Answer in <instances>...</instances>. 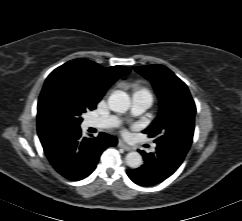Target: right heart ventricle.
Masks as SVG:
<instances>
[{"mask_svg":"<svg viewBox=\"0 0 242 221\" xmlns=\"http://www.w3.org/2000/svg\"><path fill=\"white\" fill-rule=\"evenodd\" d=\"M133 95H147L152 99L149 89L140 83H135L133 85Z\"/></svg>","mask_w":242,"mask_h":221,"instance_id":"e07e8e85","label":"right heart ventricle"}]
</instances>
